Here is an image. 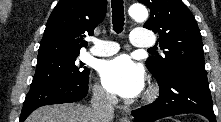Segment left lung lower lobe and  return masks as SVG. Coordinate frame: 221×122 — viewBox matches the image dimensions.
I'll return each mask as SVG.
<instances>
[{"instance_id": "0a47b994", "label": "left lung lower lobe", "mask_w": 221, "mask_h": 122, "mask_svg": "<svg viewBox=\"0 0 221 122\" xmlns=\"http://www.w3.org/2000/svg\"><path fill=\"white\" fill-rule=\"evenodd\" d=\"M157 82L159 98L132 112L136 122H153L183 113L201 114L216 122L206 72L180 70Z\"/></svg>"}]
</instances>
